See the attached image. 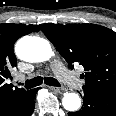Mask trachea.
<instances>
[{
    "instance_id": "3493384b",
    "label": "trachea",
    "mask_w": 116,
    "mask_h": 116,
    "mask_svg": "<svg viewBox=\"0 0 116 116\" xmlns=\"http://www.w3.org/2000/svg\"><path fill=\"white\" fill-rule=\"evenodd\" d=\"M43 81L46 85L60 87V83L56 79L52 77L43 78L41 76L35 77L31 80H26L25 83H19V85H24L26 89H31L33 87L41 85Z\"/></svg>"
}]
</instances>
